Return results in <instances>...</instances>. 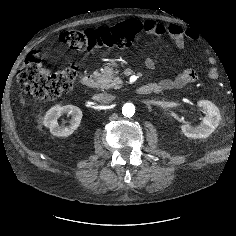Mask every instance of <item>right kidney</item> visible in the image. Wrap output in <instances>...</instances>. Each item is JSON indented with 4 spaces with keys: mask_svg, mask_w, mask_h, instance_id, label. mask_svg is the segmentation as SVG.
Wrapping results in <instances>:
<instances>
[{
    "mask_svg": "<svg viewBox=\"0 0 236 236\" xmlns=\"http://www.w3.org/2000/svg\"><path fill=\"white\" fill-rule=\"evenodd\" d=\"M63 114L71 115L72 117L68 126L58 124L57 120ZM82 116V111L76 106L56 105L46 112L43 119V124L50 129L51 134L55 136L67 137L79 127Z\"/></svg>",
    "mask_w": 236,
    "mask_h": 236,
    "instance_id": "ca27d5eb",
    "label": "right kidney"
}]
</instances>
